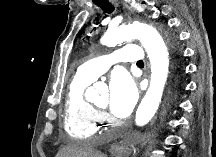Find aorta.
<instances>
[{
  "label": "aorta",
  "mask_w": 216,
  "mask_h": 157,
  "mask_svg": "<svg viewBox=\"0 0 216 157\" xmlns=\"http://www.w3.org/2000/svg\"><path fill=\"white\" fill-rule=\"evenodd\" d=\"M133 39H138L141 42L151 64L150 85L135 117L136 125L141 127L153 118L161 102L169 74V51L159 32L152 26L140 22L122 25L107 31L101 39V43L113 47ZM96 89V85L90 89V96L97 94Z\"/></svg>",
  "instance_id": "762f6f07"
}]
</instances>
